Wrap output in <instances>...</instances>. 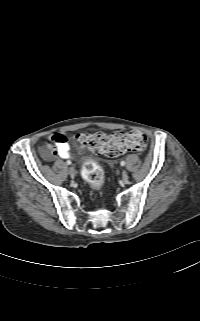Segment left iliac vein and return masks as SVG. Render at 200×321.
Segmentation results:
<instances>
[{
    "mask_svg": "<svg viewBox=\"0 0 200 321\" xmlns=\"http://www.w3.org/2000/svg\"><path fill=\"white\" fill-rule=\"evenodd\" d=\"M122 179L124 182H126L128 180V173L125 170H123V172H122Z\"/></svg>",
    "mask_w": 200,
    "mask_h": 321,
    "instance_id": "left-iliac-vein-1",
    "label": "left iliac vein"
}]
</instances>
